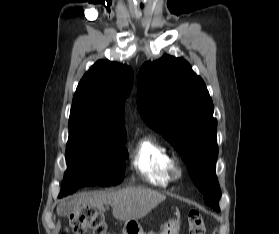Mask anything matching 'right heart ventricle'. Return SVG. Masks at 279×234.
Segmentation results:
<instances>
[{
  "instance_id": "e07e8e85",
  "label": "right heart ventricle",
  "mask_w": 279,
  "mask_h": 234,
  "mask_svg": "<svg viewBox=\"0 0 279 234\" xmlns=\"http://www.w3.org/2000/svg\"><path fill=\"white\" fill-rule=\"evenodd\" d=\"M173 162L167 148L149 136L138 141L131 156L133 168L154 186L166 187L171 183L170 168Z\"/></svg>"
}]
</instances>
